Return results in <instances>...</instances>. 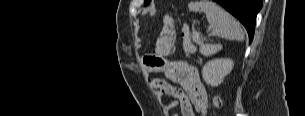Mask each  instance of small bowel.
Returning <instances> with one entry per match:
<instances>
[{
    "label": "small bowel",
    "mask_w": 305,
    "mask_h": 116,
    "mask_svg": "<svg viewBox=\"0 0 305 116\" xmlns=\"http://www.w3.org/2000/svg\"><path fill=\"white\" fill-rule=\"evenodd\" d=\"M172 49L173 42L164 37L157 42L155 52L144 57V64L150 72L163 74L168 80L154 78L151 85L158 93L174 98L167 104L168 110L179 105L182 116H195V112L204 116L208 97L198 70L184 61L168 59Z\"/></svg>",
    "instance_id": "obj_1"
}]
</instances>
